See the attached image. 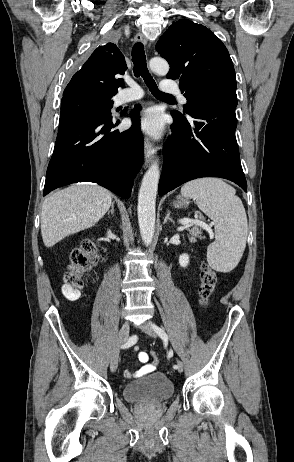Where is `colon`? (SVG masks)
I'll list each match as a JSON object with an SVG mask.
<instances>
[{"instance_id":"colon-1","label":"colon","mask_w":294,"mask_h":462,"mask_svg":"<svg viewBox=\"0 0 294 462\" xmlns=\"http://www.w3.org/2000/svg\"><path fill=\"white\" fill-rule=\"evenodd\" d=\"M98 244L93 239L84 240L78 248L72 250L69 262L64 274L62 286L63 295L69 300H76L81 289L84 287L85 274L98 261ZM217 285L215 272L207 265L201 267V284L199 288L200 301L207 305ZM153 364H158L159 358L156 353L151 354Z\"/></svg>"}]
</instances>
